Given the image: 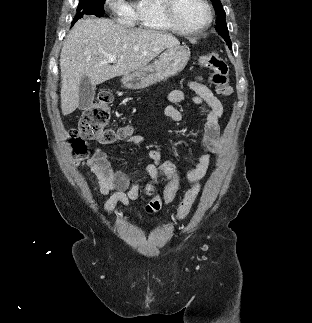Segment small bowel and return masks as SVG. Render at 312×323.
Here are the masks:
<instances>
[{
    "label": "small bowel",
    "mask_w": 312,
    "mask_h": 323,
    "mask_svg": "<svg viewBox=\"0 0 312 323\" xmlns=\"http://www.w3.org/2000/svg\"><path fill=\"white\" fill-rule=\"evenodd\" d=\"M188 87L191 92L173 89L168 93L167 98L172 104L189 101L206 109L203 136L205 153L186 173V178L190 183H197L208 171L211 156L221 150L220 123L224 108L210 86L203 82L202 77L189 82ZM163 113L165 117L175 123H180L184 119L183 113L173 105L166 106ZM127 142L132 145H141L144 138L141 135H132L127 138ZM148 158L150 163L146 166V172L148 176H156V174L151 173V168L158 167V165H155V158H162L161 152L158 149H150ZM85 164L98 181L99 192L104 199L103 211L106 215H110L119 203L124 206H130L132 202L137 200L141 188L140 181L131 184L130 177L126 173L115 169L103 150L96 149L91 157L85 161ZM155 199H160L159 193L155 195Z\"/></svg>",
    "instance_id": "small-bowel-1"
}]
</instances>
